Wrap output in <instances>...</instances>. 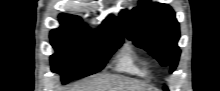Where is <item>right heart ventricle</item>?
Returning <instances> with one entry per match:
<instances>
[{"mask_svg": "<svg viewBox=\"0 0 220 91\" xmlns=\"http://www.w3.org/2000/svg\"><path fill=\"white\" fill-rule=\"evenodd\" d=\"M117 69L140 77L147 75L145 62L137 57L131 46H126L118 54Z\"/></svg>", "mask_w": 220, "mask_h": 91, "instance_id": "e07e8e85", "label": "right heart ventricle"}]
</instances>
